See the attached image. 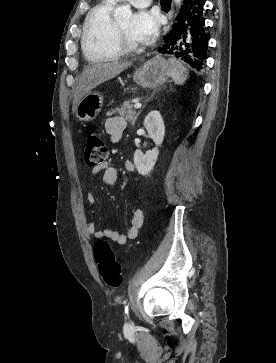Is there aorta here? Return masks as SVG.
I'll use <instances>...</instances> for the list:
<instances>
[{
	"label": "aorta",
	"mask_w": 276,
	"mask_h": 363,
	"mask_svg": "<svg viewBox=\"0 0 276 363\" xmlns=\"http://www.w3.org/2000/svg\"><path fill=\"white\" fill-rule=\"evenodd\" d=\"M182 0H175V3L180 7ZM132 16V11L129 5H121L114 10V18L117 21L128 20Z\"/></svg>",
	"instance_id": "762f6f07"
}]
</instances>
